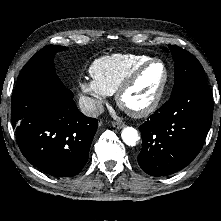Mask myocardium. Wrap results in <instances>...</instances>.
Returning <instances> with one entry per match:
<instances>
[{"label":"myocardium","instance_id":"myocardium-1","mask_svg":"<svg viewBox=\"0 0 221 221\" xmlns=\"http://www.w3.org/2000/svg\"><path fill=\"white\" fill-rule=\"evenodd\" d=\"M156 63L161 64L164 69V76L156 94L154 95L152 100L142 108L138 109L128 108L123 101L125 94L134 86V84L137 82L141 74L149 66ZM168 81H169V69L166 63L159 58H151L145 61L144 63L140 64L138 67H136L122 82V84L119 86L118 90L116 91V102L118 106L130 116L136 118L146 117L152 114L158 108L164 96L165 90L167 88Z\"/></svg>","mask_w":221,"mask_h":221}]
</instances>
